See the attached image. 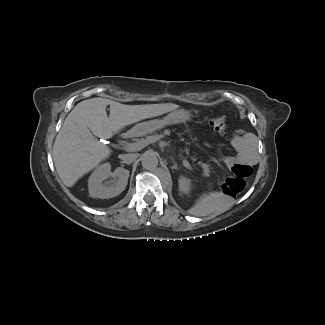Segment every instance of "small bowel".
I'll return each mask as SVG.
<instances>
[{
	"instance_id": "obj_1",
	"label": "small bowel",
	"mask_w": 325,
	"mask_h": 325,
	"mask_svg": "<svg viewBox=\"0 0 325 325\" xmlns=\"http://www.w3.org/2000/svg\"><path fill=\"white\" fill-rule=\"evenodd\" d=\"M237 155L239 156V158H240L241 161H244L245 162V161H248L249 160V158L246 155L245 150L243 148H241V147H239L237 149Z\"/></svg>"
}]
</instances>
